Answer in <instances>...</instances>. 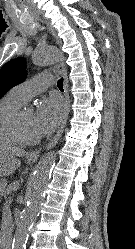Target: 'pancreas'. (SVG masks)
<instances>
[{
  "label": "pancreas",
  "mask_w": 135,
  "mask_h": 249,
  "mask_svg": "<svg viewBox=\"0 0 135 249\" xmlns=\"http://www.w3.org/2000/svg\"><path fill=\"white\" fill-rule=\"evenodd\" d=\"M16 186V184L15 183H13V184H11L9 187H2V188H0V193L1 194H9L12 190H13V188Z\"/></svg>",
  "instance_id": "cf45deb5"
}]
</instances>
